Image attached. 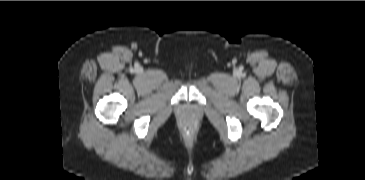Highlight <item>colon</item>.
Instances as JSON below:
<instances>
[{
    "instance_id": "5ec220e1",
    "label": "colon",
    "mask_w": 365,
    "mask_h": 180,
    "mask_svg": "<svg viewBox=\"0 0 365 180\" xmlns=\"http://www.w3.org/2000/svg\"><path fill=\"white\" fill-rule=\"evenodd\" d=\"M186 133H191V128L187 127L185 128Z\"/></svg>"
}]
</instances>
